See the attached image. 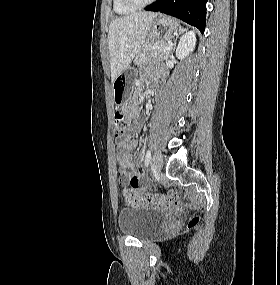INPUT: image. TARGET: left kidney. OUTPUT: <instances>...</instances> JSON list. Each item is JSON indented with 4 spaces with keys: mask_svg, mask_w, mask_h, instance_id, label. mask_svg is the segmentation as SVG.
I'll list each match as a JSON object with an SVG mask.
<instances>
[{
    "mask_svg": "<svg viewBox=\"0 0 280 285\" xmlns=\"http://www.w3.org/2000/svg\"><path fill=\"white\" fill-rule=\"evenodd\" d=\"M195 45V32L193 30L186 32L179 41V44L176 49V56L179 59H184L194 50Z\"/></svg>",
    "mask_w": 280,
    "mask_h": 285,
    "instance_id": "1",
    "label": "left kidney"
}]
</instances>
